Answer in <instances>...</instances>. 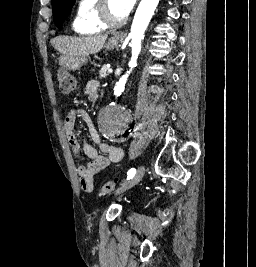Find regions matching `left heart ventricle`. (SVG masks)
<instances>
[{
    "mask_svg": "<svg viewBox=\"0 0 256 267\" xmlns=\"http://www.w3.org/2000/svg\"><path fill=\"white\" fill-rule=\"evenodd\" d=\"M108 14H109L110 24L113 26H116L118 22L120 21V15L118 13V10H117V7L114 1L110 2Z\"/></svg>",
    "mask_w": 256,
    "mask_h": 267,
    "instance_id": "b2bd125f",
    "label": "left heart ventricle"
}]
</instances>
